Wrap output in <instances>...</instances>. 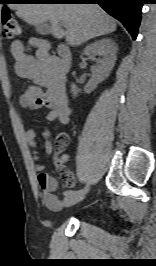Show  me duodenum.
<instances>
[{"mask_svg": "<svg viewBox=\"0 0 156 266\" xmlns=\"http://www.w3.org/2000/svg\"><path fill=\"white\" fill-rule=\"evenodd\" d=\"M72 63V53L67 45L61 44L58 47V57L55 59V70L61 80H65V76L70 69Z\"/></svg>", "mask_w": 156, "mask_h": 266, "instance_id": "410a0bca", "label": "duodenum"}]
</instances>
